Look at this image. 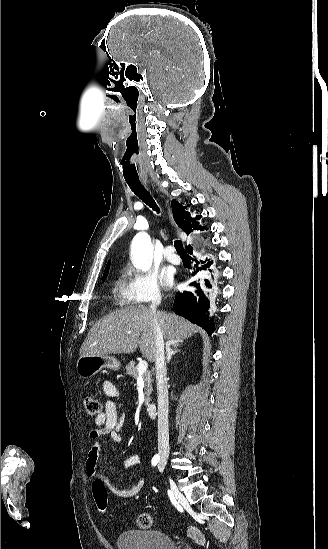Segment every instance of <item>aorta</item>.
I'll use <instances>...</instances> for the list:
<instances>
[{
  "label": "aorta",
  "mask_w": 328,
  "mask_h": 549,
  "mask_svg": "<svg viewBox=\"0 0 328 549\" xmlns=\"http://www.w3.org/2000/svg\"><path fill=\"white\" fill-rule=\"evenodd\" d=\"M150 254L151 246L149 236L144 232L138 233L132 241V258L134 265L142 271L148 270L150 267Z\"/></svg>",
  "instance_id": "1"
}]
</instances>
